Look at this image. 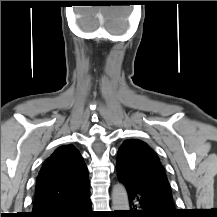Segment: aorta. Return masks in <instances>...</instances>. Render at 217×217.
<instances>
[{
    "label": "aorta",
    "mask_w": 217,
    "mask_h": 217,
    "mask_svg": "<svg viewBox=\"0 0 217 217\" xmlns=\"http://www.w3.org/2000/svg\"><path fill=\"white\" fill-rule=\"evenodd\" d=\"M113 210H129L128 195L125 187L118 183L112 189Z\"/></svg>",
    "instance_id": "aorta-1"
}]
</instances>
